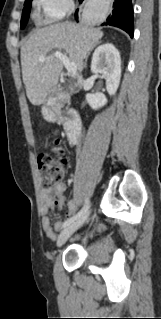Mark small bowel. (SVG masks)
Masks as SVG:
<instances>
[{"mask_svg":"<svg viewBox=\"0 0 161 319\" xmlns=\"http://www.w3.org/2000/svg\"><path fill=\"white\" fill-rule=\"evenodd\" d=\"M66 185L63 181H59L53 187L44 188L42 191V207L44 213H47L51 210L57 202L66 203L68 207L69 215H72L76 212L77 206L76 203L72 200L67 199L64 196V191ZM42 227L44 234L50 239H56L55 231H60L63 227V223L57 221L53 226L51 225L47 216L43 218Z\"/></svg>","mask_w":161,"mask_h":319,"instance_id":"obj_1","label":"small bowel"}]
</instances>
